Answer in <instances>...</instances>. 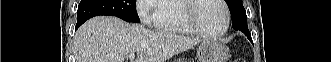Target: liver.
Returning a JSON list of instances; mask_svg holds the SVG:
<instances>
[{"label": "liver", "instance_id": "liver-1", "mask_svg": "<svg viewBox=\"0 0 331 62\" xmlns=\"http://www.w3.org/2000/svg\"><path fill=\"white\" fill-rule=\"evenodd\" d=\"M200 42L199 38L151 31L106 16L88 20L74 38L76 62H125L131 53H137L131 62H166Z\"/></svg>", "mask_w": 331, "mask_h": 62}]
</instances>
